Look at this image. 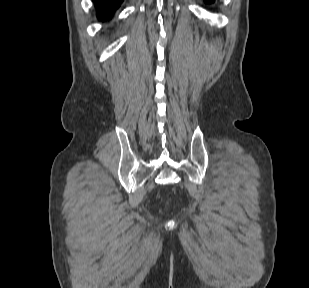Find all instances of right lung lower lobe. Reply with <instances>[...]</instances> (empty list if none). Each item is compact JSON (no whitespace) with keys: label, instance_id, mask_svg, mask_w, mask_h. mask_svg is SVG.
I'll use <instances>...</instances> for the list:
<instances>
[{"label":"right lung lower lobe","instance_id":"right-lung-lower-lobe-1","mask_svg":"<svg viewBox=\"0 0 309 288\" xmlns=\"http://www.w3.org/2000/svg\"><path fill=\"white\" fill-rule=\"evenodd\" d=\"M97 7V17L102 21L112 17L113 12L123 0H92Z\"/></svg>","mask_w":309,"mask_h":288}]
</instances>
